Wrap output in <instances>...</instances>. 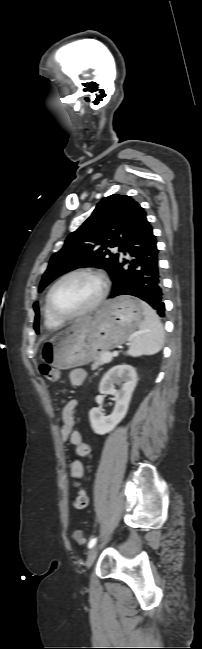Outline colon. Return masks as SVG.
Here are the masks:
<instances>
[{"label": "colon", "instance_id": "colon-1", "mask_svg": "<svg viewBox=\"0 0 202 649\" xmlns=\"http://www.w3.org/2000/svg\"><path fill=\"white\" fill-rule=\"evenodd\" d=\"M39 370H40L41 375L46 380H48L50 382H56V381L59 380L60 373L56 368L51 367V366H49L47 364H41ZM73 539L78 545H80V546L85 545L86 540H85L81 530L77 529V530L74 531Z\"/></svg>", "mask_w": 202, "mask_h": 649}]
</instances>
